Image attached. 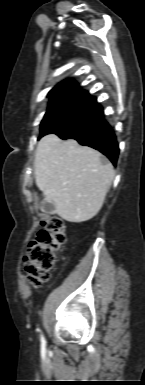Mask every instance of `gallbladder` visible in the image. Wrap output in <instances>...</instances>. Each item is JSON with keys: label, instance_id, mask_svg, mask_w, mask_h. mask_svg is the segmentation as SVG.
<instances>
[{"label": "gallbladder", "instance_id": "obj_1", "mask_svg": "<svg viewBox=\"0 0 145 385\" xmlns=\"http://www.w3.org/2000/svg\"><path fill=\"white\" fill-rule=\"evenodd\" d=\"M41 210L45 214H53L55 212L54 204L48 201H42Z\"/></svg>", "mask_w": 145, "mask_h": 385}]
</instances>
